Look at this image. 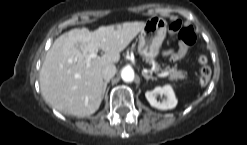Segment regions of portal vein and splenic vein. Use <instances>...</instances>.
Instances as JSON below:
<instances>
[{"instance_id": "18ae733b", "label": "portal vein and splenic vein", "mask_w": 247, "mask_h": 145, "mask_svg": "<svg viewBox=\"0 0 247 145\" xmlns=\"http://www.w3.org/2000/svg\"><path fill=\"white\" fill-rule=\"evenodd\" d=\"M96 57H97V53H96V52H92V53H90V54L87 56L85 62H86L87 64H89L90 61H91L92 59L96 58ZM157 76H158V77H165L166 74H165V73H158Z\"/></svg>"}]
</instances>
